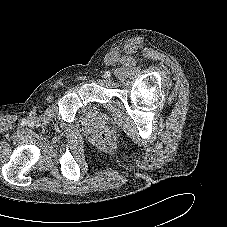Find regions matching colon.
Instances as JSON below:
<instances>
[{
	"label": "colon",
	"instance_id": "obj_1",
	"mask_svg": "<svg viewBox=\"0 0 227 227\" xmlns=\"http://www.w3.org/2000/svg\"><path fill=\"white\" fill-rule=\"evenodd\" d=\"M98 141L100 144L106 145L110 142L109 134L102 132L98 135Z\"/></svg>",
	"mask_w": 227,
	"mask_h": 227
}]
</instances>
